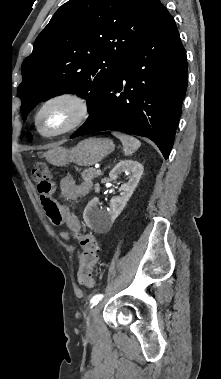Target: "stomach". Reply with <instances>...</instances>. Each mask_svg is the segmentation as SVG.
Wrapping results in <instances>:
<instances>
[{
	"label": "stomach",
	"instance_id": "stomach-1",
	"mask_svg": "<svg viewBox=\"0 0 221 379\" xmlns=\"http://www.w3.org/2000/svg\"><path fill=\"white\" fill-rule=\"evenodd\" d=\"M114 148L115 145L110 139L88 138L71 149L54 147L44 156L54 166L61 167L72 162L79 166H92L104 159Z\"/></svg>",
	"mask_w": 221,
	"mask_h": 379
}]
</instances>
